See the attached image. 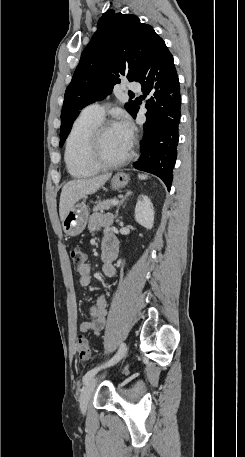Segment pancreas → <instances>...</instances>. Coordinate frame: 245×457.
I'll list each match as a JSON object with an SVG mask.
<instances>
[{
  "label": "pancreas",
  "instance_id": "1",
  "mask_svg": "<svg viewBox=\"0 0 245 457\" xmlns=\"http://www.w3.org/2000/svg\"><path fill=\"white\" fill-rule=\"evenodd\" d=\"M113 198H107V200H98L97 204L93 206L92 210L98 212V210H109L111 208Z\"/></svg>",
  "mask_w": 245,
  "mask_h": 457
}]
</instances>
